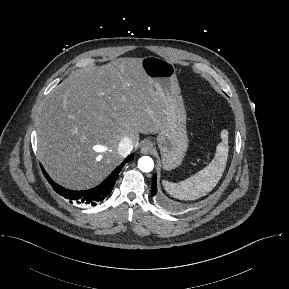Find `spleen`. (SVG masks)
<instances>
[{"label":"spleen","mask_w":289,"mask_h":289,"mask_svg":"<svg viewBox=\"0 0 289 289\" xmlns=\"http://www.w3.org/2000/svg\"><path fill=\"white\" fill-rule=\"evenodd\" d=\"M223 141L217 145L216 154L208 166L179 183L163 180L165 190L180 200H195L209 193L220 180L228 158V132L221 133Z\"/></svg>","instance_id":"obj_1"}]
</instances>
